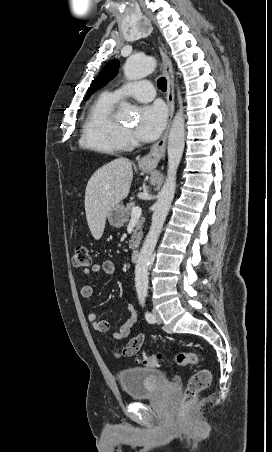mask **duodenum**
Listing matches in <instances>:
<instances>
[{
	"label": "duodenum",
	"mask_w": 272,
	"mask_h": 452,
	"mask_svg": "<svg viewBox=\"0 0 272 452\" xmlns=\"http://www.w3.org/2000/svg\"><path fill=\"white\" fill-rule=\"evenodd\" d=\"M130 257L132 262H136L139 258V249L132 250Z\"/></svg>",
	"instance_id": "duodenum-1"
}]
</instances>
